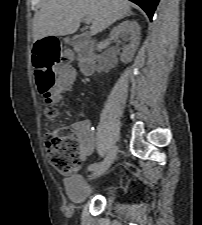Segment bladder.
Here are the masks:
<instances>
[{
    "instance_id": "31cf9c89",
    "label": "bladder",
    "mask_w": 202,
    "mask_h": 225,
    "mask_svg": "<svg viewBox=\"0 0 202 225\" xmlns=\"http://www.w3.org/2000/svg\"><path fill=\"white\" fill-rule=\"evenodd\" d=\"M69 201L74 206H80L95 196H102L108 202H114L119 197L116 185L107 182L99 187H86L85 177L82 174L65 179Z\"/></svg>"
}]
</instances>
